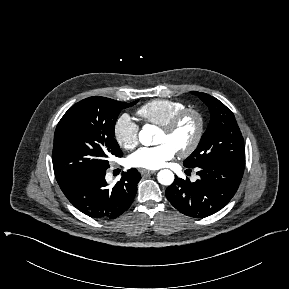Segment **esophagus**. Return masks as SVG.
<instances>
[{"label": "esophagus", "mask_w": 289, "mask_h": 289, "mask_svg": "<svg viewBox=\"0 0 289 289\" xmlns=\"http://www.w3.org/2000/svg\"><path fill=\"white\" fill-rule=\"evenodd\" d=\"M139 172L141 173V175H148V174H154V173H156V171L147 170V169H140Z\"/></svg>", "instance_id": "esophagus-1"}]
</instances>
